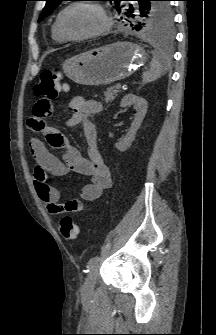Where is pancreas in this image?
<instances>
[{
	"mask_svg": "<svg viewBox=\"0 0 216 335\" xmlns=\"http://www.w3.org/2000/svg\"><path fill=\"white\" fill-rule=\"evenodd\" d=\"M117 96V90L115 88V86L109 87L107 88L106 91H104V101L106 103L112 102L115 97Z\"/></svg>",
	"mask_w": 216,
	"mask_h": 335,
	"instance_id": "obj_1",
	"label": "pancreas"
}]
</instances>
